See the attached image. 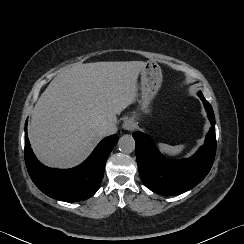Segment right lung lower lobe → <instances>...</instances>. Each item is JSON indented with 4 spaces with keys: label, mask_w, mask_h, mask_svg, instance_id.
Masks as SVG:
<instances>
[{
    "label": "right lung lower lobe",
    "mask_w": 244,
    "mask_h": 244,
    "mask_svg": "<svg viewBox=\"0 0 244 244\" xmlns=\"http://www.w3.org/2000/svg\"><path fill=\"white\" fill-rule=\"evenodd\" d=\"M117 141V135L104 138L91 155L75 168H48L38 161L30 147L26 121L24 151L26 167L32 181L44 194L66 202L82 201L94 195L99 189L106 160Z\"/></svg>",
    "instance_id": "98d812e1"
}]
</instances>
